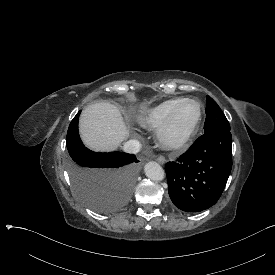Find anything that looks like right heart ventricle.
<instances>
[{
    "mask_svg": "<svg viewBox=\"0 0 275 275\" xmlns=\"http://www.w3.org/2000/svg\"><path fill=\"white\" fill-rule=\"evenodd\" d=\"M183 98H173L162 101L148 108L133 113L135 122L147 130H157L163 126L169 113Z\"/></svg>",
    "mask_w": 275,
    "mask_h": 275,
    "instance_id": "obj_1",
    "label": "right heart ventricle"
}]
</instances>
